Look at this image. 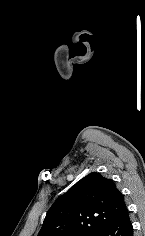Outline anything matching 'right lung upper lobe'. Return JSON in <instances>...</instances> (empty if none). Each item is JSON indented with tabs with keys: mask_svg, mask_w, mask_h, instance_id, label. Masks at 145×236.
<instances>
[{
	"mask_svg": "<svg viewBox=\"0 0 145 236\" xmlns=\"http://www.w3.org/2000/svg\"><path fill=\"white\" fill-rule=\"evenodd\" d=\"M126 209L113 180L90 173L54 202L37 236H95Z\"/></svg>",
	"mask_w": 145,
	"mask_h": 236,
	"instance_id": "right-lung-upper-lobe-1",
	"label": "right lung upper lobe"
}]
</instances>
